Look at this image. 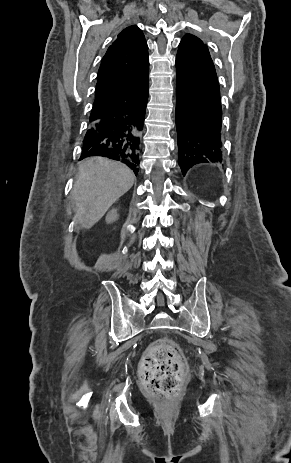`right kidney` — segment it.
<instances>
[{
    "instance_id": "right-kidney-1",
    "label": "right kidney",
    "mask_w": 291,
    "mask_h": 463,
    "mask_svg": "<svg viewBox=\"0 0 291 463\" xmlns=\"http://www.w3.org/2000/svg\"><path fill=\"white\" fill-rule=\"evenodd\" d=\"M118 217L117 209H112L107 213L105 220L108 224H110L118 220Z\"/></svg>"
}]
</instances>
